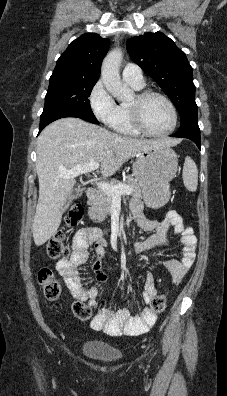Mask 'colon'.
Wrapping results in <instances>:
<instances>
[{
	"label": "colon",
	"mask_w": 227,
	"mask_h": 396,
	"mask_svg": "<svg viewBox=\"0 0 227 396\" xmlns=\"http://www.w3.org/2000/svg\"><path fill=\"white\" fill-rule=\"evenodd\" d=\"M83 217V208L79 204H74L66 217V223L69 227L77 226ZM46 252L49 258L53 260L65 259L69 256L70 249L66 243L65 234L58 232L52 236L46 244ZM38 281L43 288L47 299L56 301L62 292V284L49 268H42L38 272ZM167 306V300L164 295L154 297L150 303V309L153 313H162ZM74 316L82 321H89L93 317V311L90 306L81 301H75L72 304Z\"/></svg>",
	"instance_id": "colon-1"
}]
</instances>
